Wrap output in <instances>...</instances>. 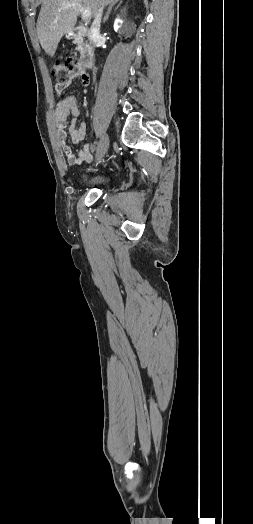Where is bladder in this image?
I'll use <instances>...</instances> for the list:
<instances>
[{
  "label": "bladder",
  "mask_w": 253,
  "mask_h": 524,
  "mask_svg": "<svg viewBox=\"0 0 253 524\" xmlns=\"http://www.w3.org/2000/svg\"><path fill=\"white\" fill-rule=\"evenodd\" d=\"M109 177L107 175H97L86 180L87 187L101 188L108 184Z\"/></svg>",
  "instance_id": "obj_1"
}]
</instances>
